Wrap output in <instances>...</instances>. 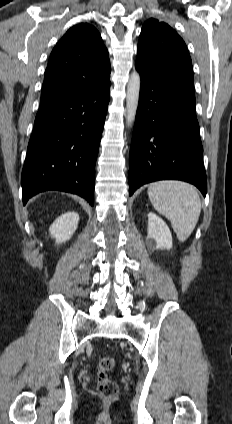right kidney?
<instances>
[{
    "label": "right kidney",
    "instance_id": "1",
    "mask_svg": "<svg viewBox=\"0 0 232 424\" xmlns=\"http://www.w3.org/2000/svg\"><path fill=\"white\" fill-rule=\"evenodd\" d=\"M79 215L76 212H67L59 216L49 228L51 237L57 244L69 240L77 229Z\"/></svg>",
    "mask_w": 232,
    "mask_h": 424
}]
</instances>
